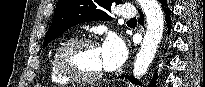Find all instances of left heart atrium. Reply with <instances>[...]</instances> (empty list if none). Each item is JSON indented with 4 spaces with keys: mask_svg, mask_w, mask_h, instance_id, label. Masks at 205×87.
I'll use <instances>...</instances> for the list:
<instances>
[{
    "mask_svg": "<svg viewBox=\"0 0 205 87\" xmlns=\"http://www.w3.org/2000/svg\"><path fill=\"white\" fill-rule=\"evenodd\" d=\"M100 49L104 67L112 70L119 67L127 55L124 43L114 35L109 36Z\"/></svg>",
    "mask_w": 205,
    "mask_h": 87,
    "instance_id": "left-heart-atrium-1",
    "label": "left heart atrium"
}]
</instances>
